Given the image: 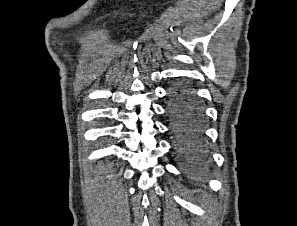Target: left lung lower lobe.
Instances as JSON below:
<instances>
[{
	"instance_id": "left-lung-lower-lobe-1",
	"label": "left lung lower lobe",
	"mask_w": 297,
	"mask_h": 226,
	"mask_svg": "<svg viewBox=\"0 0 297 226\" xmlns=\"http://www.w3.org/2000/svg\"><path fill=\"white\" fill-rule=\"evenodd\" d=\"M167 115L182 167L190 177H198L205 169L207 152L203 140V110L191 87L182 84L170 90Z\"/></svg>"
}]
</instances>
